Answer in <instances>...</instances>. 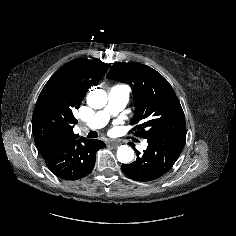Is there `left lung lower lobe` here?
I'll return each instance as SVG.
<instances>
[{
  "label": "left lung lower lobe",
  "instance_id": "obj_1",
  "mask_svg": "<svg viewBox=\"0 0 236 236\" xmlns=\"http://www.w3.org/2000/svg\"><path fill=\"white\" fill-rule=\"evenodd\" d=\"M148 147L131 164H122L125 175L136 181H153L166 174L177 161L186 142V129L147 139Z\"/></svg>",
  "mask_w": 236,
  "mask_h": 236
}]
</instances>
